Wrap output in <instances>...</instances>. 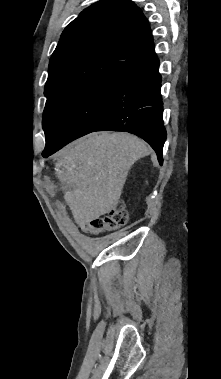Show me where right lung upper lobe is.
Instances as JSON below:
<instances>
[{
	"mask_svg": "<svg viewBox=\"0 0 221 379\" xmlns=\"http://www.w3.org/2000/svg\"><path fill=\"white\" fill-rule=\"evenodd\" d=\"M157 58L147 19L131 0H100L63 31L45 95L103 76L122 77Z\"/></svg>",
	"mask_w": 221,
	"mask_h": 379,
	"instance_id": "1",
	"label": "right lung upper lobe"
}]
</instances>
